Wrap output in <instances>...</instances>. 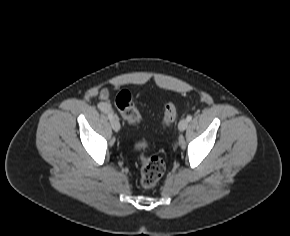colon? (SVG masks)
Returning a JSON list of instances; mask_svg holds the SVG:
<instances>
[{
    "instance_id": "5ec220e1",
    "label": "colon",
    "mask_w": 290,
    "mask_h": 236,
    "mask_svg": "<svg viewBox=\"0 0 290 236\" xmlns=\"http://www.w3.org/2000/svg\"><path fill=\"white\" fill-rule=\"evenodd\" d=\"M115 105L122 117L132 125H139L142 122L140 111L132 102V95L128 90L120 91L115 98ZM177 117V108L174 103L168 102L164 107L162 125L170 126ZM148 148L146 140L141 139L136 143V149L141 152V185L146 188L154 187L165 171V163L159 156H148L145 151Z\"/></svg>"
}]
</instances>
